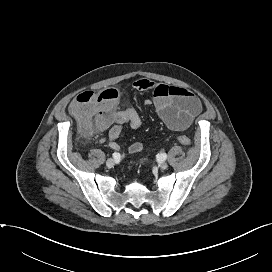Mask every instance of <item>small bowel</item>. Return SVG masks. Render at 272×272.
I'll use <instances>...</instances> for the list:
<instances>
[{
	"mask_svg": "<svg viewBox=\"0 0 272 272\" xmlns=\"http://www.w3.org/2000/svg\"><path fill=\"white\" fill-rule=\"evenodd\" d=\"M138 91L150 92L153 95V105L158 116L173 131H184L193 123L194 118L202 111L201 101L191 91L171 85L139 79L133 83ZM129 125L132 129L141 126V119L133 108H126L113 114L100 126L99 129H108V142L113 150H120L117 139L120 137L123 126ZM143 149L141 142L130 145L131 153H138Z\"/></svg>",
	"mask_w": 272,
	"mask_h": 272,
	"instance_id": "obj_1",
	"label": "small bowel"
}]
</instances>
